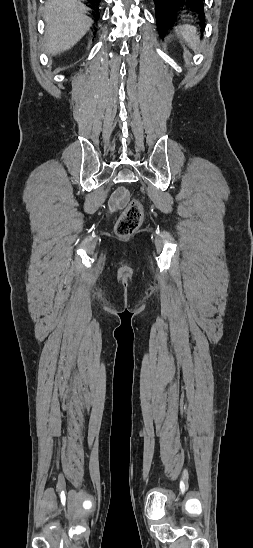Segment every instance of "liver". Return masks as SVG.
I'll return each instance as SVG.
<instances>
[{"mask_svg": "<svg viewBox=\"0 0 253 548\" xmlns=\"http://www.w3.org/2000/svg\"><path fill=\"white\" fill-rule=\"evenodd\" d=\"M87 7L77 0H48L44 20L45 52L57 55L73 47L90 29L93 20Z\"/></svg>", "mask_w": 253, "mask_h": 548, "instance_id": "liver-1", "label": "liver"}]
</instances>
